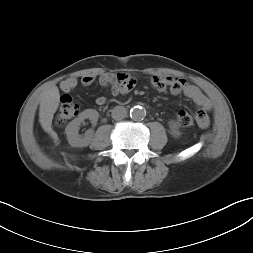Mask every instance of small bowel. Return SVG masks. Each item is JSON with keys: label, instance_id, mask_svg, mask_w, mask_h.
<instances>
[{"label": "small bowel", "instance_id": "obj_1", "mask_svg": "<svg viewBox=\"0 0 253 253\" xmlns=\"http://www.w3.org/2000/svg\"><path fill=\"white\" fill-rule=\"evenodd\" d=\"M96 79L101 86H111L114 95L126 94L132 89L135 84L134 78L127 73H104L98 77L94 75H85L81 77L80 80L75 77L67 78L61 82L60 88L64 92H70L77 87L79 82L83 86H90L95 82ZM151 82L158 91H169L172 95H185L199 107L196 112V119L199 126L201 128L208 127L209 118L207 113L211 109V103L209 99L204 96L197 87L186 83L182 79L163 75L153 76ZM106 103L107 98L104 96H100L96 99V104L99 106H103Z\"/></svg>", "mask_w": 253, "mask_h": 253}]
</instances>
